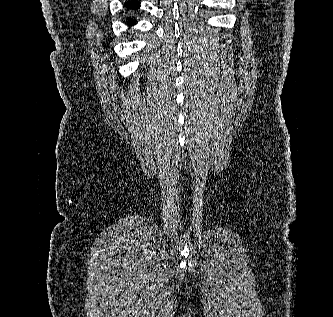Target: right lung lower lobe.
<instances>
[{
  "mask_svg": "<svg viewBox=\"0 0 333 317\" xmlns=\"http://www.w3.org/2000/svg\"><path fill=\"white\" fill-rule=\"evenodd\" d=\"M125 7L129 11H135L140 7V3L138 2V0H130L125 3ZM126 22L128 25H134L136 23V20L131 17H127Z\"/></svg>",
  "mask_w": 333,
  "mask_h": 317,
  "instance_id": "right-lung-lower-lobe-1",
  "label": "right lung lower lobe"
}]
</instances>
